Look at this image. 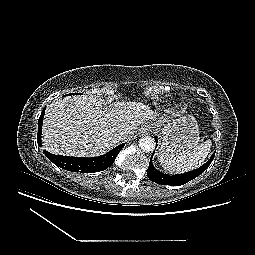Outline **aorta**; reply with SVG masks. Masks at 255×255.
I'll use <instances>...</instances> for the list:
<instances>
[{
	"label": "aorta",
	"instance_id": "762f6f07",
	"mask_svg": "<svg viewBox=\"0 0 255 255\" xmlns=\"http://www.w3.org/2000/svg\"><path fill=\"white\" fill-rule=\"evenodd\" d=\"M156 143L154 138L150 136H144L139 140V147L144 152H151L155 149Z\"/></svg>",
	"mask_w": 255,
	"mask_h": 255
}]
</instances>
